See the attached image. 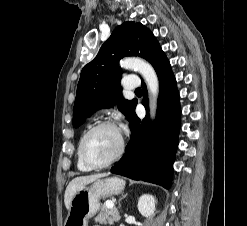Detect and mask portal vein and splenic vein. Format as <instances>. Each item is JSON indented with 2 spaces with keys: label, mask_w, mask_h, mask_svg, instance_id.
<instances>
[{
  "label": "portal vein and splenic vein",
  "mask_w": 247,
  "mask_h": 226,
  "mask_svg": "<svg viewBox=\"0 0 247 226\" xmlns=\"http://www.w3.org/2000/svg\"><path fill=\"white\" fill-rule=\"evenodd\" d=\"M107 204H110V207H113L114 206V204L112 203V202H107Z\"/></svg>",
  "instance_id": "portal-vein-and-splenic-vein-1"
}]
</instances>
